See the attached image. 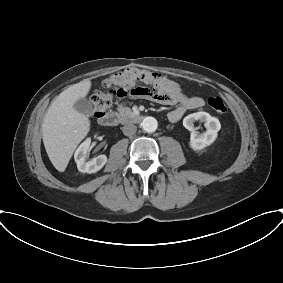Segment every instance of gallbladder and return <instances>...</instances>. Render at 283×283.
I'll use <instances>...</instances> for the list:
<instances>
[{"label": "gallbladder", "mask_w": 283, "mask_h": 283, "mask_svg": "<svg viewBox=\"0 0 283 283\" xmlns=\"http://www.w3.org/2000/svg\"><path fill=\"white\" fill-rule=\"evenodd\" d=\"M73 107L76 111L86 116H91L94 111L92 104L86 98L79 99Z\"/></svg>", "instance_id": "gallbladder-1"}]
</instances>
